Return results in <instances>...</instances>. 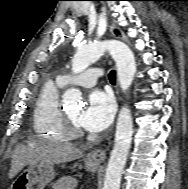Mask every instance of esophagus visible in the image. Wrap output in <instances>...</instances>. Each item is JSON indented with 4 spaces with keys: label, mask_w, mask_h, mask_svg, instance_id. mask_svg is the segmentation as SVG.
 <instances>
[{
    "label": "esophagus",
    "mask_w": 188,
    "mask_h": 189,
    "mask_svg": "<svg viewBox=\"0 0 188 189\" xmlns=\"http://www.w3.org/2000/svg\"><path fill=\"white\" fill-rule=\"evenodd\" d=\"M106 157L105 151L101 149H95L88 155V160L93 164H100Z\"/></svg>",
    "instance_id": "obj_1"
}]
</instances>
